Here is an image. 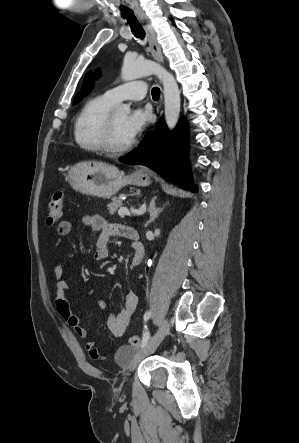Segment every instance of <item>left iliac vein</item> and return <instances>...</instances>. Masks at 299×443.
I'll list each match as a JSON object with an SVG mask.
<instances>
[{
  "label": "left iliac vein",
  "mask_w": 299,
  "mask_h": 443,
  "mask_svg": "<svg viewBox=\"0 0 299 443\" xmlns=\"http://www.w3.org/2000/svg\"><path fill=\"white\" fill-rule=\"evenodd\" d=\"M169 330L168 319H164L154 336L148 341L146 346L142 348L132 359L129 369L133 371L136 366L149 354H151L160 342L163 340Z\"/></svg>",
  "instance_id": "1"
}]
</instances>
